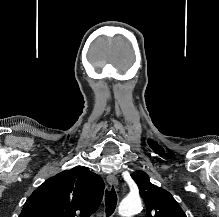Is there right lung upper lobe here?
Wrapping results in <instances>:
<instances>
[{
	"label": "right lung upper lobe",
	"mask_w": 219,
	"mask_h": 217,
	"mask_svg": "<svg viewBox=\"0 0 219 217\" xmlns=\"http://www.w3.org/2000/svg\"><path fill=\"white\" fill-rule=\"evenodd\" d=\"M104 187L85 167L62 171L32 193L19 217H89L99 208Z\"/></svg>",
	"instance_id": "1"
}]
</instances>
